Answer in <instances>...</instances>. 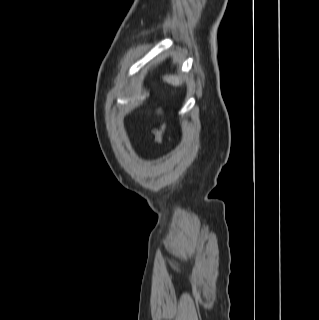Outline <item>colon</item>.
<instances>
[{
	"label": "colon",
	"instance_id": "5ec220e1",
	"mask_svg": "<svg viewBox=\"0 0 319 320\" xmlns=\"http://www.w3.org/2000/svg\"><path fill=\"white\" fill-rule=\"evenodd\" d=\"M166 125L161 123L153 129V136L157 144H162L165 140Z\"/></svg>",
	"mask_w": 319,
	"mask_h": 320
}]
</instances>
